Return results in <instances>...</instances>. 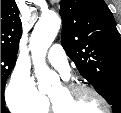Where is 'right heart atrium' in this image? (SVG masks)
Listing matches in <instances>:
<instances>
[{
  "instance_id": "1",
  "label": "right heart atrium",
  "mask_w": 121,
  "mask_h": 113,
  "mask_svg": "<svg viewBox=\"0 0 121 113\" xmlns=\"http://www.w3.org/2000/svg\"><path fill=\"white\" fill-rule=\"evenodd\" d=\"M6 102L15 113H40L46 98L42 95L28 72L15 68L5 91Z\"/></svg>"
}]
</instances>
